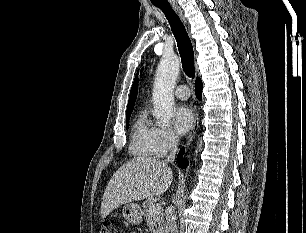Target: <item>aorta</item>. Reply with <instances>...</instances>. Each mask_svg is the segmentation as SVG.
<instances>
[{
    "label": "aorta",
    "mask_w": 306,
    "mask_h": 233,
    "mask_svg": "<svg viewBox=\"0 0 306 233\" xmlns=\"http://www.w3.org/2000/svg\"><path fill=\"white\" fill-rule=\"evenodd\" d=\"M179 67L176 55L163 56L156 70L153 90L154 116L161 127L168 126L172 118L175 105L173 90Z\"/></svg>",
    "instance_id": "762f6f07"
}]
</instances>
